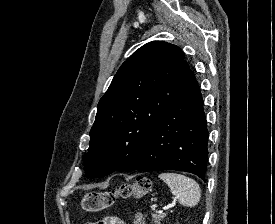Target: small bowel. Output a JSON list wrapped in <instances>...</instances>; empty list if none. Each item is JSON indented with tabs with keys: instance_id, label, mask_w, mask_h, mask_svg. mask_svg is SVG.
I'll use <instances>...</instances> for the list:
<instances>
[{
	"instance_id": "1",
	"label": "small bowel",
	"mask_w": 275,
	"mask_h": 224,
	"mask_svg": "<svg viewBox=\"0 0 275 224\" xmlns=\"http://www.w3.org/2000/svg\"><path fill=\"white\" fill-rule=\"evenodd\" d=\"M87 224H125V222L116 216H107L102 220L89 222Z\"/></svg>"
}]
</instances>
